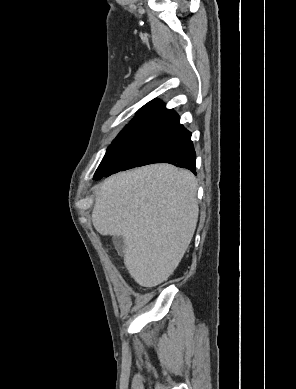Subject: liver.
Wrapping results in <instances>:
<instances>
[{
  "mask_svg": "<svg viewBox=\"0 0 296 389\" xmlns=\"http://www.w3.org/2000/svg\"><path fill=\"white\" fill-rule=\"evenodd\" d=\"M195 176L170 164L116 174L98 186L92 211L103 236H122L124 264L141 286L166 281L179 265L198 221Z\"/></svg>",
  "mask_w": 296,
  "mask_h": 389,
  "instance_id": "1",
  "label": "liver"
}]
</instances>
